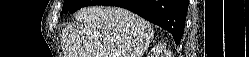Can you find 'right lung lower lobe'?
<instances>
[{"label":"right lung lower lobe","mask_w":249,"mask_h":57,"mask_svg":"<svg viewBox=\"0 0 249 57\" xmlns=\"http://www.w3.org/2000/svg\"><path fill=\"white\" fill-rule=\"evenodd\" d=\"M97 5L128 9L168 30L176 44L183 36L188 10L187 0H101Z\"/></svg>","instance_id":"98d812e1"}]
</instances>
